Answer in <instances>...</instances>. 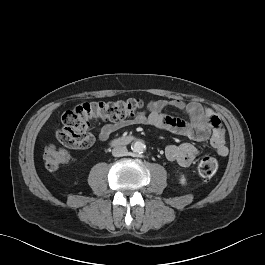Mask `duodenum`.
I'll list each match as a JSON object with an SVG mask.
<instances>
[{
	"mask_svg": "<svg viewBox=\"0 0 265 265\" xmlns=\"http://www.w3.org/2000/svg\"><path fill=\"white\" fill-rule=\"evenodd\" d=\"M132 141V137L130 136H124V137H118L112 140V145L118 146V145H125Z\"/></svg>",
	"mask_w": 265,
	"mask_h": 265,
	"instance_id": "410a0bca",
	"label": "duodenum"
}]
</instances>
